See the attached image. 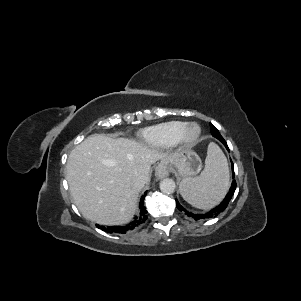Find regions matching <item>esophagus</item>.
<instances>
[{"label": "esophagus", "instance_id": "esophagus-1", "mask_svg": "<svg viewBox=\"0 0 301 301\" xmlns=\"http://www.w3.org/2000/svg\"><path fill=\"white\" fill-rule=\"evenodd\" d=\"M170 174V167L166 162H160L159 165L156 168V175L159 178H164L169 176Z\"/></svg>", "mask_w": 301, "mask_h": 301}]
</instances>
